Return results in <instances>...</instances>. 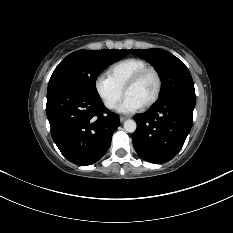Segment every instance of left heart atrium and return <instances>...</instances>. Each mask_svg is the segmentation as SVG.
<instances>
[{
    "mask_svg": "<svg viewBox=\"0 0 233 233\" xmlns=\"http://www.w3.org/2000/svg\"><path fill=\"white\" fill-rule=\"evenodd\" d=\"M142 107L137 100L130 96H125L124 100L118 107V111L121 113H133L138 111Z\"/></svg>",
    "mask_w": 233,
    "mask_h": 233,
    "instance_id": "obj_1",
    "label": "left heart atrium"
}]
</instances>
